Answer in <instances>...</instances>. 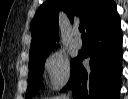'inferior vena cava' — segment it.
<instances>
[{
	"instance_id": "1",
	"label": "inferior vena cava",
	"mask_w": 128,
	"mask_h": 99,
	"mask_svg": "<svg viewBox=\"0 0 128 99\" xmlns=\"http://www.w3.org/2000/svg\"><path fill=\"white\" fill-rule=\"evenodd\" d=\"M64 99H69V97L68 96H65Z\"/></svg>"
}]
</instances>
